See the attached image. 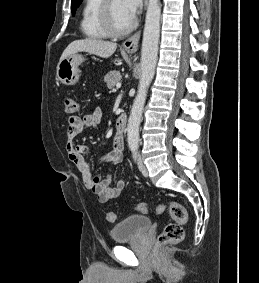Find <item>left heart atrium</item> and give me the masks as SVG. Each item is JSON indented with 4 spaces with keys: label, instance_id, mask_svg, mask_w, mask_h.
<instances>
[{
    "label": "left heart atrium",
    "instance_id": "obj_1",
    "mask_svg": "<svg viewBox=\"0 0 259 283\" xmlns=\"http://www.w3.org/2000/svg\"><path fill=\"white\" fill-rule=\"evenodd\" d=\"M124 11L130 18H134L142 0H121Z\"/></svg>",
    "mask_w": 259,
    "mask_h": 283
}]
</instances>
